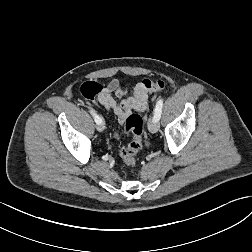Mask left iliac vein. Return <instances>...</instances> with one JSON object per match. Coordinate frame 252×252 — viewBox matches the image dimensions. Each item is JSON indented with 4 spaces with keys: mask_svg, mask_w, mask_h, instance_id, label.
Instances as JSON below:
<instances>
[{
    "mask_svg": "<svg viewBox=\"0 0 252 252\" xmlns=\"http://www.w3.org/2000/svg\"><path fill=\"white\" fill-rule=\"evenodd\" d=\"M148 129L152 133H156L159 130L158 121H155L154 118L149 120Z\"/></svg>",
    "mask_w": 252,
    "mask_h": 252,
    "instance_id": "4c4485c4",
    "label": "left iliac vein"
}]
</instances>
